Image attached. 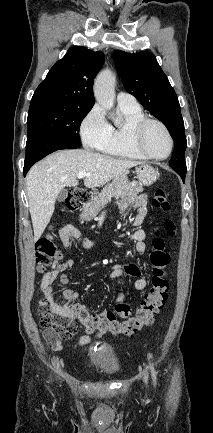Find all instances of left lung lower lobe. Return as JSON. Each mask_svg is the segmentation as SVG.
Here are the masks:
<instances>
[{
	"label": "left lung lower lobe",
	"instance_id": "0a47b994",
	"mask_svg": "<svg viewBox=\"0 0 213 433\" xmlns=\"http://www.w3.org/2000/svg\"><path fill=\"white\" fill-rule=\"evenodd\" d=\"M180 176H181V178H182V180H183V182H185V176H186V172H177Z\"/></svg>",
	"mask_w": 213,
	"mask_h": 433
}]
</instances>
